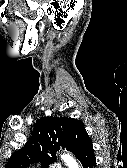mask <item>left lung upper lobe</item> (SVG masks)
Instances as JSON below:
<instances>
[{
    "instance_id": "1",
    "label": "left lung upper lobe",
    "mask_w": 127,
    "mask_h": 168,
    "mask_svg": "<svg viewBox=\"0 0 127 168\" xmlns=\"http://www.w3.org/2000/svg\"><path fill=\"white\" fill-rule=\"evenodd\" d=\"M89 136L84 123L68 117H44L34 127L33 135L26 145L13 153L5 168H27L40 161L41 168L52 164L56 152L62 147L77 156L78 150Z\"/></svg>"
}]
</instances>
